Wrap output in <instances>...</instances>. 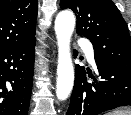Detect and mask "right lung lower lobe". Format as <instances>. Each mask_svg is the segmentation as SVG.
<instances>
[{
	"instance_id": "right-lung-lower-lobe-1",
	"label": "right lung lower lobe",
	"mask_w": 131,
	"mask_h": 115,
	"mask_svg": "<svg viewBox=\"0 0 131 115\" xmlns=\"http://www.w3.org/2000/svg\"><path fill=\"white\" fill-rule=\"evenodd\" d=\"M35 54V37L0 51V115H27Z\"/></svg>"
}]
</instances>
